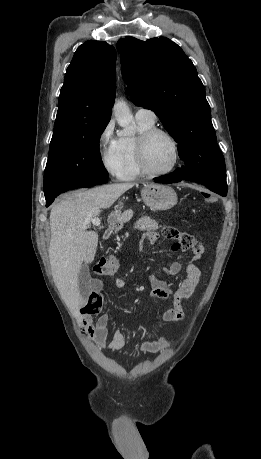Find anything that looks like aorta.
I'll use <instances>...</instances> for the list:
<instances>
[{
	"label": "aorta",
	"instance_id": "1",
	"mask_svg": "<svg viewBox=\"0 0 261 459\" xmlns=\"http://www.w3.org/2000/svg\"><path fill=\"white\" fill-rule=\"evenodd\" d=\"M113 114L118 124L123 128L124 136H133L135 127L133 126V116L125 101H118L113 107Z\"/></svg>",
	"mask_w": 261,
	"mask_h": 459
}]
</instances>
